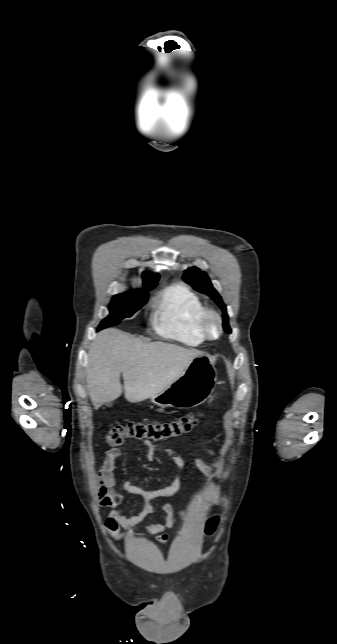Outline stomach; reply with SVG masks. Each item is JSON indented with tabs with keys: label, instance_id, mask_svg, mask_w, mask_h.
Wrapping results in <instances>:
<instances>
[{
	"label": "stomach",
	"instance_id": "0dacf381",
	"mask_svg": "<svg viewBox=\"0 0 337 644\" xmlns=\"http://www.w3.org/2000/svg\"><path fill=\"white\" fill-rule=\"evenodd\" d=\"M216 372L211 357L201 353L195 357L184 374L169 387L151 397L160 407L189 409L204 403L213 393Z\"/></svg>",
	"mask_w": 337,
	"mask_h": 644
}]
</instances>
